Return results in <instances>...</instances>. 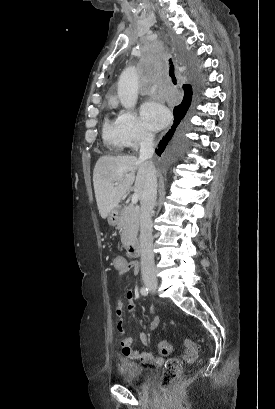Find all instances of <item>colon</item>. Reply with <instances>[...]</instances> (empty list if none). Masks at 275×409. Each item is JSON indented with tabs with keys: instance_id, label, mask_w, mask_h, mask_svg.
Here are the masks:
<instances>
[{
	"instance_id": "colon-1",
	"label": "colon",
	"mask_w": 275,
	"mask_h": 409,
	"mask_svg": "<svg viewBox=\"0 0 275 409\" xmlns=\"http://www.w3.org/2000/svg\"><path fill=\"white\" fill-rule=\"evenodd\" d=\"M113 261L115 264V268L118 270V273L124 274L125 268L123 257L115 256ZM158 345L161 356L167 357L171 347L170 341L160 340ZM183 345L185 350L182 358H170L165 363L163 375L160 380L162 388H167L175 385L181 377L183 363H193L198 357L199 350L197 345L193 341L185 338L183 341Z\"/></svg>"
}]
</instances>
